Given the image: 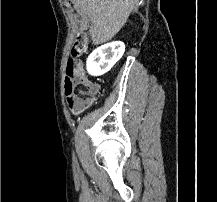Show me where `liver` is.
Returning a JSON list of instances; mask_svg holds the SVG:
<instances>
[{"mask_svg":"<svg viewBox=\"0 0 217 202\" xmlns=\"http://www.w3.org/2000/svg\"><path fill=\"white\" fill-rule=\"evenodd\" d=\"M79 14H88L93 44L112 40L125 26L139 0H70Z\"/></svg>","mask_w":217,"mask_h":202,"instance_id":"obj_1","label":"liver"}]
</instances>
